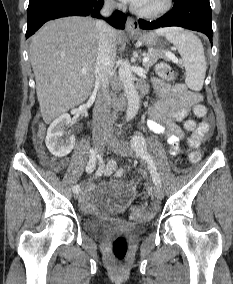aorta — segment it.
Masks as SVG:
<instances>
[{
    "mask_svg": "<svg viewBox=\"0 0 233 284\" xmlns=\"http://www.w3.org/2000/svg\"><path fill=\"white\" fill-rule=\"evenodd\" d=\"M119 79L124 87V94L127 99L126 120L133 119L140 107V98L137 89L134 85V78L132 74L131 64L128 60L122 61L119 70Z\"/></svg>",
    "mask_w": 233,
    "mask_h": 284,
    "instance_id": "762f6f07",
    "label": "aorta"
}]
</instances>
